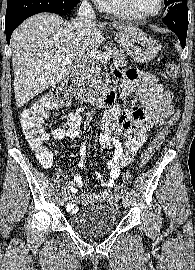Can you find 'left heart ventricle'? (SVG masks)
<instances>
[{
  "label": "left heart ventricle",
  "mask_w": 195,
  "mask_h": 270,
  "mask_svg": "<svg viewBox=\"0 0 195 270\" xmlns=\"http://www.w3.org/2000/svg\"><path fill=\"white\" fill-rule=\"evenodd\" d=\"M135 10L141 14H150L155 12L159 6V0H131Z\"/></svg>",
  "instance_id": "left-heart-ventricle-1"
}]
</instances>
